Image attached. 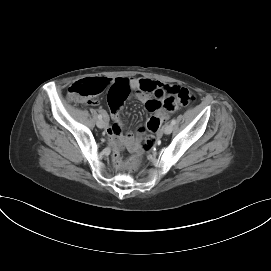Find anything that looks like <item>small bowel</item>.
Masks as SVG:
<instances>
[{
	"mask_svg": "<svg viewBox=\"0 0 271 271\" xmlns=\"http://www.w3.org/2000/svg\"><path fill=\"white\" fill-rule=\"evenodd\" d=\"M109 82V89L106 93V100L109 102L111 108L112 123L107 127L106 132L110 137L113 144L119 143L131 144L134 140L131 134L122 136L123 124L120 119V111L123 108V102L129 95L135 91V98L142 102L149 112L154 113V117L163 121L167 115L165 110L173 112L176 110V106L172 108H166L163 105V101L157 97V93L163 91L170 85L163 84L159 81L140 78H118L107 79ZM145 85L146 88H142ZM150 93L154 95V98L150 96ZM164 106V108H163ZM143 132L144 129H140Z\"/></svg>",
	"mask_w": 271,
	"mask_h": 271,
	"instance_id": "obj_1",
	"label": "small bowel"
}]
</instances>
